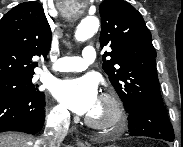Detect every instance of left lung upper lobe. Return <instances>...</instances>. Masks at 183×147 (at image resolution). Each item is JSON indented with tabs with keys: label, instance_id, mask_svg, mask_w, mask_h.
Segmentation results:
<instances>
[{
	"label": "left lung upper lobe",
	"instance_id": "1",
	"mask_svg": "<svg viewBox=\"0 0 183 147\" xmlns=\"http://www.w3.org/2000/svg\"><path fill=\"white\" fill-rule=\"evenodd\" d=\"M100 45L103 70L129 112L141 104L163 105L156 70V51L141 14L124 0H105ZM107 57V59H106Z\"/></svg>",
	"mask_w": 183,
	"mask_h": 147
}]
</instances>
